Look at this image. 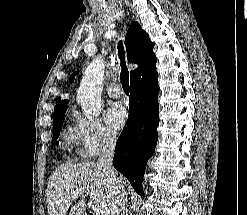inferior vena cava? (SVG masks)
<instances>
[{
    "instance_id": "obj_1",
    "label": "inferior vena cava",
    "mask_w": 247,
    "mask_h": 215,
    "mask_svg": "<svg viewBox=\"0 0 247 215\" xmlns=\"http://www.w3.org/2000/svg\"><path fill=\"white\" fill-rule=\"evenodd\" d=\"M115 145L116 141L113 138H108L104 141L102 154L98 159L97 166L105 170L106 177L114 189L112 199V215H128L126 208V191L119 182L118 175L112 166Z\"/></svg>"
}]
</instances>
